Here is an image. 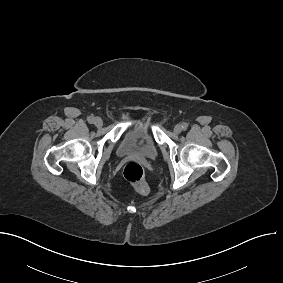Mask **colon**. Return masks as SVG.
<instances>
[{
  "label": "colon",
  "instance_id": "1",
  "mask_svg": "<svg viewBox=\"0 0 283 283\" xmlns=\"http://www.w3.org/2000/svg\"><path fill=\"white\" fill-rule=\"evenodd\" d=\"M123 175L140 194L146 195L149 193V186L144 179V169L139 163H128L124 167Z\"/></svg>",
  "mask_w": 283,
  "mask_h": 283
}]
</instances>
